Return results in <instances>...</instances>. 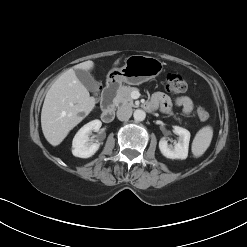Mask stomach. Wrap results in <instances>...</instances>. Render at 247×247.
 Listing matches in <instances>:
<instances>
[{"label":"stomach","mask_w":247,"mask_h":247,"mask_svg":"<svg viewBox=\"0 0 247 247\" xmlns=\"http://www.w3.org/2000/svg\"><path fill=\"white\" fill-rule=\"evenodd\" d=\"M163 63L154 57L144 55H130L125 59L121 68H113L107 75L110 84L139 85L155 78L163 71Z\"/></svg>","instance_id":"obj_1"}]
</instances>
